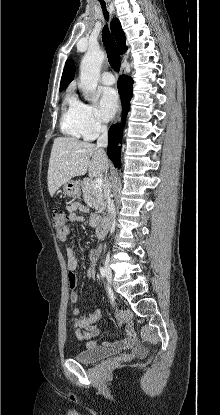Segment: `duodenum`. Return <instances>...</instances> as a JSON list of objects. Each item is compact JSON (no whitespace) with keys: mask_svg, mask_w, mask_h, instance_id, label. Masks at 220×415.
I'll return each instance as SVG.
<instances>
[{"mask_svg":"<svg viewBox=\"0 0 220 415\" xmlns=\"http://www.w3.org/2000/svg\"><path fill=\"white\" fill-rule=\"evenodd\" d=\"M109 221L110 214L107 213V215L104 218H102L100 222L97 224V235L100 239L105 238L108 230Z\"/></svg>","mask_w":220,"mask_h":415,"instance_id":"obj_1","label":"duodenum"}]
</instances>
